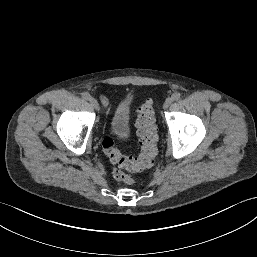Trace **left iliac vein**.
I'll use <instances>...</instances> for the list:
<instances>
[{
	"label": "left iliac vein",
	"instance_id": "4c4485c4",
	"mask_svg": "<svg viewBox=\"0 0 257 257\" xmlns=\"http://www.w3.org/2000/svg\"><path fill=\"white\" fill-rule=\"evenodd\" d=\"M172 101H173V100H172L171 97L167 98V99L165 100V102H164L163 108H164V109H167V108L171 105Z\"/></svg>",
	"mask_w": 257,
	"mask_h": 257
}]
</instances>
